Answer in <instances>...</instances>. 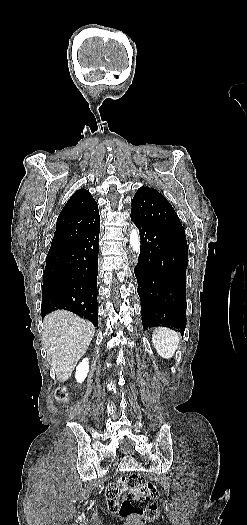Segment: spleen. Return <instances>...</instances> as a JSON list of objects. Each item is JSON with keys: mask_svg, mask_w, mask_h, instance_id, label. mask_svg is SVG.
Wrapping results in <instances>:
<instances>
[{"mask_svg": "<svg viewBox=\"0 0 247 525\" xmlns=\"http://www.w3.org/2000/svg\"><path fill=\"white\" fill-rule=\"evenodd\" d=\"M180 333L167 327H158L152 335V343L162 359H172L180 343Z\"/></svg>", "mask_w": 247, "mask_h": 525, "instance_id": "spleen-1", "label": "spleen"}]
</instances>
